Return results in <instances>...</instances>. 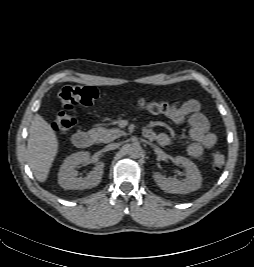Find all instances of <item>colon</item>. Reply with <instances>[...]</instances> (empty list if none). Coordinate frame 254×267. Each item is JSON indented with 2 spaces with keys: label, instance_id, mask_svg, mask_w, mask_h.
I'll return each mask as SVG.
<instances>
[{
  "label": "colon",
  "instance_id": "colon-1",
  "mask_svg": "<svg viewBox=\"0 0 254 267\" xmlns=\"http://www.w3.org/2000/svg\"><path fill=\"white\" fill-rule=\"evenodd\" d=\"M58 97L65 110H72L80 104L85 106L96 104L99 93L92 86L66 85L60 90ZM136 105L156 115L168 113L175 106V104L165 100L147 101L145 99L137 100ZM75 124L76 119L72 115L59 112L52 127L56 132H66L73 128ZM209 162L212 169L220 170L224 166L225 156L221 151L214 150L210 154Z\"/></svg>",
  "mask_w": 254,
  "mask_h": 267
}]
</instances>
